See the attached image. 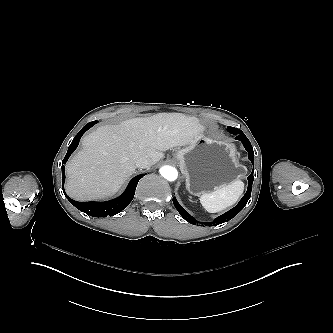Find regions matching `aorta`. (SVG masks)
<instances>
[{"label":"aorta","instance_id":"aorta-1","mask_svg":"<svg viewBox=\"0 0 333 333\" xmlns=\"http://www.w3.org/2000/svg\"><path fill=\"white\" fill-rule=\"evenodd\" d=\"M161 175L169 182H173L178 178V171L172 166H163L160 168Z\"/></svg>","mask_w":333,"mask_h":333}]
</instances>
